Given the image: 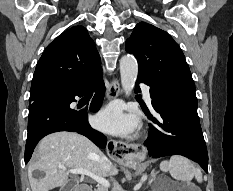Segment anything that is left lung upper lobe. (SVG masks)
<instances>
[{
	"mask_svg": "<svg viewBox=\"0 0 233 191\" xmlns=\"http://www.w3.org/2000/svg\"><path fill=\"white\" fill-rule=\"evenodd\" d=\"M126 51L138 60V77L146 78L155 88L171 89L196 98L184 54L168 33L140 22L126 40Z\"/></svg>",
	"mask_w": 233,
	"mask_h": 191,
	"instance_id": "5c2ea615",
	"label": "left lung upper lobe"
}]
</instances>
